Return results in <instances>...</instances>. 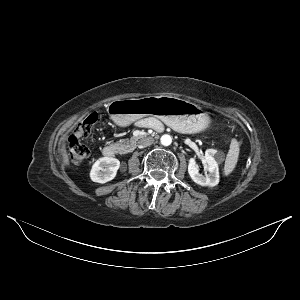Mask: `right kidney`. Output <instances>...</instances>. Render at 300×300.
Returning <instances> with one entry per match:
<instances>
[{
  "mask_svg": "<svg viewBox=\"0 0 300 300\" xmlns=\"http://www.w3.org/2000/svg\"><path fill=\"white\" fill-rule=\"evenodd\" d=\"M120 161L112 157L99 158L92 166L90 178L97 183H106L116 176Z\"/></svg>",
  "mask_w": 300,
  "mask_h": 300,
  "instance_id": "obj_1",
  "label": "right kidney"
}]
</instances>
